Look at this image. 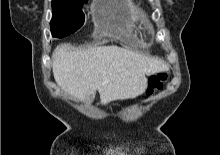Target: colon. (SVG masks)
<instances>
[{
  "instance_id": "colon-1",
  "label": "colon",
  "mask_w": 220,
  "mask_h": 155,
  "mask_svg": "<svg viewBox=\"0 0 220 155\" xmlns=\"http://www.w3.org/2000/svg\"><path fill=\"white\" fill-rule=\"evenodd\" d=\"M166 80V73H158L151 76L148 81L147 95H152L154 92L162 89Z\"/></svg>"
}]
</instances>
